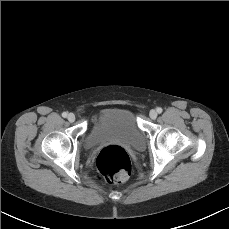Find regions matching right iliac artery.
<instances>
[{"instance_id": "right-iliac-artery-1", "label": "right iliac artery", "mask_w": 229, "mask_h": 229, "mask_svg": "<svg viewBox=\"0 0 229 229\" xmlns=\"http://www.w3.org/2000/svg\"><path fill=\"white\" fill-rule=\"evenodd\" d=\"M67 115H68V114H67L66 112H63V113H62V117H64V118H66Z\"/></svg>"}]
</instances>
